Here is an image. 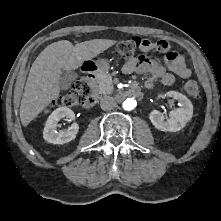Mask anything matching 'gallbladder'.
I'll return each instance as SVG.
<instances>
[{"label":"gallbladder","mask_w":221,"mask_h":221,"mask_svg":"<svg viewBox=\"0 0 221 221\" xmlns=\"http://www.w3.org/2000/svg\"><path fill=\"white\" fill-rule=\"evenodd\" d=\"M78 77L77 73L74 71H68L61 69L60 77H59V86L61 89L66 90L70 88L73 81Z\"/></svg>","instance_id":"gallbladder-1"}]
</instances>
